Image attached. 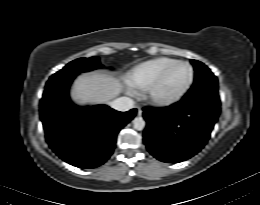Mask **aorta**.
<instances>
[{"label":"aorta","mask_w":260,"mask_h":205,"mask_svg":"<svg viewBox=\"0 0 260 205\" xmlns=\"http://www.w3.org/2000/svg\"><path fill=\"white\" fill-rule=\"evenodd\" d=\"M133 127L134 129L141 131L145 127V121L142 117H135L133 119Z\"/></svg>","instance_id":"1"}]
</instances>
